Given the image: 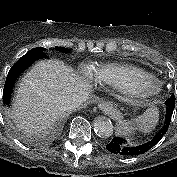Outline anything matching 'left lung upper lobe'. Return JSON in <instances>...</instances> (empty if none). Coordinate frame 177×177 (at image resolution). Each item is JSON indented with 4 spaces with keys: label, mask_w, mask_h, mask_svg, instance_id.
Returning a JSON list of instances; mask_svg holds the SVG:
<instances>
[{
    "label": "left lung upper lobe",
    "mask_w": 177,
    "mask_h": 177,
    "mask_svg": "<svg viewBox=\"0 0 177 177\" xmlns=\"http://www.w3.org/2000/svg\"><path fill=\"white\" fill-rule=\"evenodd\" d=\"M171 99H173V101L175 100L174 94H172L171 97L169 99H167V100H171Z\"/></svg>",
    "instance_id": "5c2ea615"
}]
</instances>
